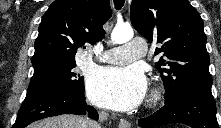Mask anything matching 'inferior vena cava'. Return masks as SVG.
I'll return each instance as SVG.
<instances>
[{"label":"inferior vena cava","mask_w":221,"mask_h":128,"mask_svg":"<svg viewBox=\"0 0 221 128\" xmlns=\"http://www.w3.org/2000/svg\"><path fill=\"white\" fill-rule=\"evenodd\" d=\"M84 127L85 128H100V125L95 121L88 120L86 126H84Z\"/></svg>","instance_id":"1"}]
</instances>
